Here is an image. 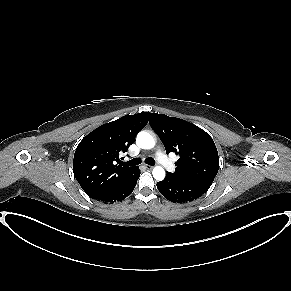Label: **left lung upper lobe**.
<instances>
[{"label": "left lung upper lobe", "instance_id": "obj_1", "mask_svg": "<svg viewBox=\"0 0 291 291\" xmlns=\"http://www.w3.org/2000/svg\"><path fill=\"white\" fill-rule=\"evenodd\" d=\"M149 123L159 135L167 154L179 155L176 177L211 185L219 169V157L208 133L185 120L149 113Z\"/></svg>", "mask_w": 291, "mask_h": 291}]
</instances>
